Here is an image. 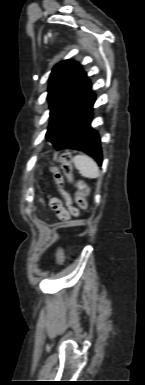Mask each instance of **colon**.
Instances as JSON below:
<instances>
[{
	"mask_svg": "<svg viewBox=\"0 0 145 385\" xmlns=\"http://www.w3.org/2000/svg\"><path fill=\"white\" fill-rule=\"evenodd\" d=\"M59 161L61 163L62 172L56 167H50V173L57 185L60 194L64 198L66 207L69 209L73 216H78L79 209L86 211L88 208V187L83 181L76 180L74 178L71 156L68 153H62L59 157ZM65 180H67L76 188L74 200L79 209L73 205V199L65 189Z\"/></svg>",
	"mask_w": 145,
	"mask_h": 385,
	"instance_id": "5ec220e1",
	"label": "colon"
}]
</instances>
